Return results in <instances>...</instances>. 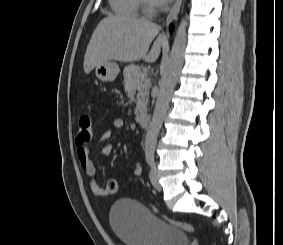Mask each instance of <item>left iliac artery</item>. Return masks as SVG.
Listing matches in <instances>:
<instances>
[{"label":"left iliac artery","instance_id":"1","mask_svg":"<svg viewBox=\"0 0 283 245\" xmlns=\"http://www.w3.org/2000/svg\"><path fill=\"white\" fill-rule=\"evenodd\" d=\"M146 161L151 167L154 166V150L153 149L146 150Z\"/></svg>","mask_w":283,"mask_h":245}]
</instances>
